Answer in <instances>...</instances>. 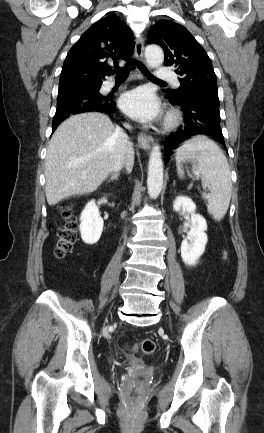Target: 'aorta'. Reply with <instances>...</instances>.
Instances as JSON below:
<instances>
[{
	"label": "aorta",
	"mask_w": 264,
	"mask_h": 433,
	"mask_svg": "<svg viewBox=\"0 0 264 433\" xmlns=\"http://www.w3.org/2000/svg\"><path fill=\"white\" fill-rule=\"evenodd\" d=\"M145 57L150 67L156 68L164 61L163 50L156 45H149L145 49ZM163 187V162L160 147L155 144L152 148L149 164L147 188L151 198H157Z\"/></svg>",
	"instance_id": "aorta-1"
}]
</instances>
